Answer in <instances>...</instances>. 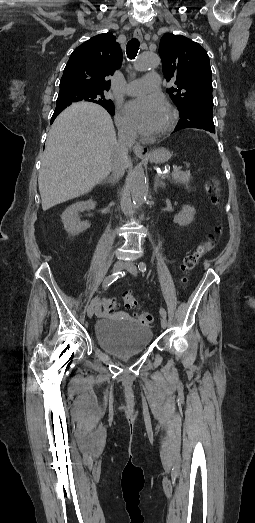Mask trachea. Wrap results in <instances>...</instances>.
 <instances>
[{
    "label": "trachea",
    "mask_w": 255,
    "mask_h": 523,
    "mask_svg": "<svg viewBox=\"0 0 255 523\" xmlns=\"http://www.w3.org/2000/svg\"><path fill=\"white\" fill-rule=\"evenodd\" d=\"M139 47H140V41L136 38H132L128 44H127V49H126V53H127V57L132 60L133 58L136 57L137 53H138V50H139Z\"/></svg>",
    "instance_id": "obj_1"
}]
</instances>
